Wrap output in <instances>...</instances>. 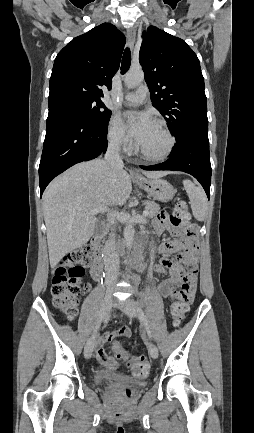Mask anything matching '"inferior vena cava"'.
<instances>
[{
	"label": "inferior vena cava",
	"mask_w": 254,
	"mask_h": 433,
	"mask_svg": "<svg viewBox=\"0 0 254 433\" xmlns=\"http://www.w3.org/2000/svg\"><path fill=\"white\" fill-rule=\"evenodd\" d=\"M119 151V138L116 137L110 139L104 159L114 170L123 168V161L120 157ZM108 222L111 224V233L109 234L108 239L104 243L103 253L106 273V285L109 288L116 284L119 272V257L116 252L114 242L115 213H110L108 215Z\"/></svg>",
	"instance_id": "1"
}]
</instances>
